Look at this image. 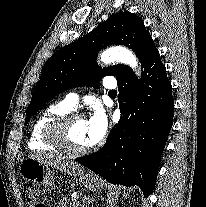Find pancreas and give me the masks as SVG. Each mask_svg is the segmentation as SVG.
Here are the masks:
<instances>
[{"instance_id": "cf45deb5", "label": "pancreas", "mask_w": 206, "mask_h": 207, "mask_svg": "<svg viewBox=\"0 0 206 207\" xmlns=\"http://www.w3.org/2000/svg\"><path fill=\"white\" fill-rule=\"evenodd\" d=\"M66 201L63 199V200H61V201H59L58 202V205L56 206V207H66ZM70 205L72 206V207H85V203H80L79 201H77V200H74V201H72L71 203H70ZM70 206V207H71Z\"/></svg>"}]
</instances>
